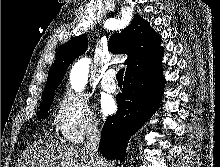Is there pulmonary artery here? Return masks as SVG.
Returning <instances> with one entry per match:
<instances>
[{"label":"pulmonary artery","mask_w":220,"mask_h":167,"mask_svg":"<svg viewBox=\"0 0 220 167\" xmlns=\"http://www.w3.org/2000/svg\"><path fill=\"white\" fill-rule=\"evenodd\" d=\"M101 87L108 93H113L117 89L115 82V71L110 69L107 70L101 79Z\"/></svg>","instance_id":"pulmonary-artery-1"}]
</instances>
